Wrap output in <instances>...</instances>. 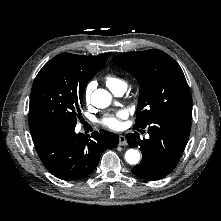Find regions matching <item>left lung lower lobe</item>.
Returning <instances> with one entry per match:
<instances>
[{
  "mask_svg": "<svg viewBox=\"0 0 221 221\" xmlns=\"http://www.w3.org/2000/svg\"><path fill=\"white\" fill-rule=\"evenodd\" d=\"M191 118L162 116L148 126L150 138L141 140L137 132L126 135L132 147H140L142 161L132 172L143 179L154 181L170 174L179 162L190 135Z\"/></svg>",
  "mask_w": 221,
  "mask_h": 221,
  "instance_id": "obj_1",
  "label": "left lung lower lobe"
}]
</instances>
